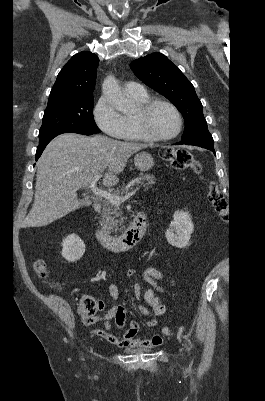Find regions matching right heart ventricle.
<instances>
[{
	"label": "right heart ventricle",
	"mask_w": 265,
	"mask_h": 401,
	"mask_svg": "<svg viewBox=\"0 0 265 401\" xmlns=\"http://www.w3.org/2000/svg\"><path fill=\"white\" fill-rule=\"evenodd\" d=\"M128 96L136 102L138 105H142L147 103L150 98L149 95L145 92L142 95H137V94H128ZM124 122H125V129L122 132L121 135L118 136V139L121 141H129V140H140L142 139L135 123V115L133 116H126L124 117Z\"/></svg>",
	"instance_id": "e07e8e85"
}]
</instances>
